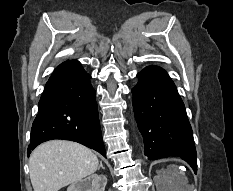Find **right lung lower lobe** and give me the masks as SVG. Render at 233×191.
I'll list each match as a JSON object with an SVG mask.
<instances>
[{
  "instance_id": "98d812e1",
  "label": "right lung lower lobe",
  "mask_w": 233,
  "mask_h": 191,
  "mask_svg": "<svg viewBox=\"0 0 233 191\" xmlns=\"http://www.w3.org/2000/svg\"><path fill=\"white\" fill-rule=\"evenodd\" d=\"M91 76L76 60L59 65L46 83L32 124L28 156L52 139L76 141L106 157Z\"/></svg>"
}]
</instances>
